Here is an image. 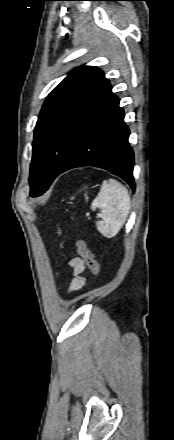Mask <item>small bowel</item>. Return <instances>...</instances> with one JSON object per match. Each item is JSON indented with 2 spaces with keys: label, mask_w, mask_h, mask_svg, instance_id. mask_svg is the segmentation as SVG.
<instances>
[{
  "label": "small bowel",
  "mask_w": 174,
  "mask_h": 440,
  "mask_svg": "<svg viewBox=\"0 0 174 440\" xmlns=\"http://www.w3.org/2000/svg\"><path fill=\"white\" fill-rule=\"evenodd\" d=\"M69 265L73 268V277L70 281L69 291L76 292L84 287L86 283V279L82 276L85 265L79 257L71 259Z\"/></svg>",
  "instance_id": "c3829d8e"
}]
</instances>
